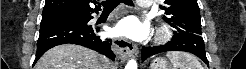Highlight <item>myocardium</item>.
Wrapping results in <instances>:
<instances>
[{"label":"myocardium","instance_id":"myocardium-1","mask_svg":"<svg viewBox=\"0 0 246 69\" xmlns=\"http://www.w3.org/2000/svg\"><path fill=\"white\" fill-rule=\"evenodd\" d=\"M172 37V29L169 25H161L157 31L156 41L158 43H164L170 40Z\"/></svg>","mask_w":246,"mask_h":69}]
</instances>
